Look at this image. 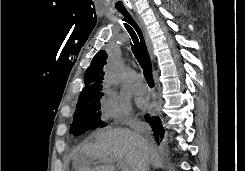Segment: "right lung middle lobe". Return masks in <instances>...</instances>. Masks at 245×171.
<instances>
[{
	"label": "right lung middle lobe",
	"mask_w": 245,
	"mask_h": 171,
	"mask_svg": "<svg viewBox=\"0 0 245 171\" xmlns=\"http://www.w3.org/2000/svg\"><path fill=\"white\" fill-rule=\"evenodd\" d=\"M100 97L101 94L78 101L70 133L77 136L106 125L100 119Z\"/></svg>",
	"instance_id": "right-lung-middle-lobe-1"
}]
</instances>
